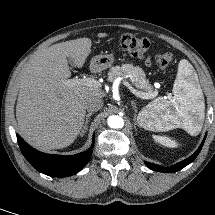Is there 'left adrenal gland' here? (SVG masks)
I'll use <instances>...</instances> for the list:
<instances>
[{
	"mask_svg": "<svg viewBox=\"0 0 215 215\" xmlns=\"http://www.w3.org/2000/svg\"><path fill=\"white\" fill-rule=\"evenodd\" d=\"M131 104H132V107L133 109L135 110V115H134V119H136V114H137V106H136V103L131 101Z\"/></svg>",
	"mask_w": 215,
	"mask_h": 215,
	"instance_id": "1",
	"label": "left adrenal gland"
}]
</instances>
